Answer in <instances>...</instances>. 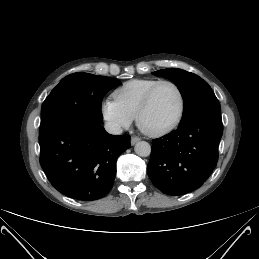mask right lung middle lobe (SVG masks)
Masks as SVG:
<instances>
[{
  "label": "right lung middle lobe",
  "instance_id": "dd1d6c3e",
  "mask_svg": "<svg viewBox=\"0 0 259 259\" xmlns=\"http://www.w3.org/2000/svg\"><path fill=\"white\" fill-rule=\"evenodd\" d=\"M120 83L82 72L66 76L42 104L40 129L62 120L100 123L103 96Z\"/></svg>",
  "mask_w": 259,
  "mask_h": 259
}]
</instances>
